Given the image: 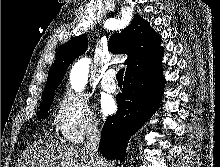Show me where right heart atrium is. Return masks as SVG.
<instances>
[{
	"label": "right heart atrium",
	"instance_id": "right-heart-atrium-1",
	"mask_svg": "<svg viewBox=\"0 0 220 167\" xmlns=\"http://www.w3.org/2000/svg\"><path fill=\"white\" fill-rule=\"evenodd\" d=\"M60 135L69 143L80 144L86 137L97 135L100 124L87 99L68 91L60 99L55 116Z\"/></svg>",
	"mask_w": 220,
	"mask_h": 167
}]
</instances>
